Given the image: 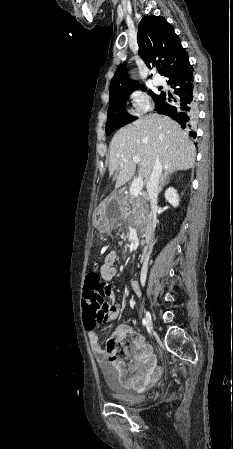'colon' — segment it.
<instances>
[{
  "instance_id": "colon-1",
  "label": "colon",
  "mask_w": 233,
  "mask_h": 449,
  "mask_svg": "<svg viewBox=\"0 0 233 449\" xmlns=\"http://www.w3.org/2000/svg\"><path fill=\"white\" fill-rule=\"evenodd\" d=\"M103 283L100 274L97 271H90L85 276L84 294L82 299V319L84 328H101L104 316V300L101 296ZM123 342L126 346H132L133 336L131 332L123 327L119 333L108 341L107 352L112 361L117 360L119 349L118 345Z\"/></svg>"
}]
</instances>
